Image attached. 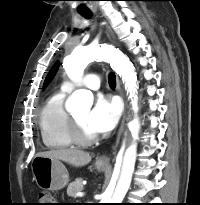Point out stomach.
Returning <instances> with one entry per match:
<instances>
[{"label": "stomach", "instance_id": "obj_1", "mask_svg": "<svg viewBox=\"0 0 200 205\" xmlns=\"http://www.w3.org/2000/svg\"><path fill=\"white\" fill-rule=\"evenodd\" d=\"M97 170H105L107 165L95 163ZM32 173L37 185L45 190H60L69 182L68 171L60 160L35 156L31 163Z\"/></svg>", "mask_w": 200, "mask_h": 205}]
</instances>
